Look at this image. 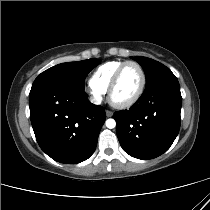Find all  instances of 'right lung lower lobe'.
I'll return each instance as SVG.
<instances>
[{
    "instance_id": "1",
    "label": "right lung lower lobe",
    "mask_w": 210,
    "mask_h": 210,
    "mask_svg": "<svg viewBox=\"0 0 210 210\" xmlns=\"http://www.w3.org/2000/svg\"><path fill=\"white\" fill-rule=\"evenodd\" d=\"M78 87L59 83L32 86L30 119L41 149L57 162L76 164L94 152L106 119Z\"/></svg>"
}]
</instances>
